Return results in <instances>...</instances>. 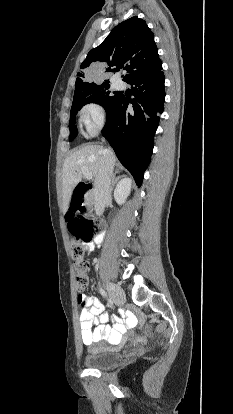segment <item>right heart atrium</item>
Here are the masks:
<instances>
[{
	"label": "right heart atrium",
	"instance_id": "1",
	"mask_svg": "<svg viewBox=\"0 0 233 414\" xmlns=\"http://www.w3.org/2000/svg\"><path fill=\"white\" fill-rule=\"evenodd\" d=\"M80 120L90 135L97 134L106 122V111L97 102H90L80 110Z\"/></svg>",
	"mask_w": 233,
	"mask_h": 414
}]
</instances>
